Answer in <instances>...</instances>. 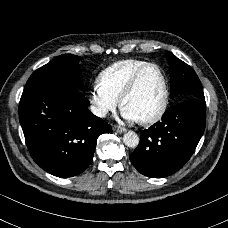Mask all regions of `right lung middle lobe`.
<instances>
[{"instance_id":"1","label":"right lung middle lobe","mask_w":228,"mask_h":228,"mask_svg":"<svg viewBox=\"0 0 228 228\" xmlns=\"http://www.w3.org/2000/svg\"><path fill=\"white\" fill-rule=\"evenodd\" d=\"M80 57L63 54L53 61L33 72L26 84L44 80H60L70 83L76 89L83 91V80L79 65Z\"/></svg>"}]
</instances>
